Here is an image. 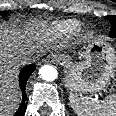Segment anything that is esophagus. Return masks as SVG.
Instances as JSON below:
<instances>
[{
	"label": "esophagus",
	"mask_w": 116,
	"mask_h": 116,
	"mask_svg": "<svg viewBox=\"0 0 116 116\" xmlns=\"http://www.w3.org/2000/svg\"><path fill=\"white\" fill-rule=\"evenodd\" d=\"M44 62L46 63H55L56 62V57L55 56H48Z\"/></svg>",
	"instance_id": "obj_1"
}]
</instances>
